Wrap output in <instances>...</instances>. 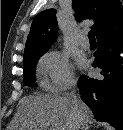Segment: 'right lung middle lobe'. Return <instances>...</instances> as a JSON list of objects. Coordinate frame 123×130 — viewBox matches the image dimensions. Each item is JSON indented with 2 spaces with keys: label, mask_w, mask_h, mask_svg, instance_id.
Here are the masks:
<instances>
[{
  "label": "right lung middle lobe",
  "mask_w": 123,
  "mask_h": 130,
  "mask_svg": "<svg viewBox=\"0 0 123 130\" xmlns=\"http://www.w3.org/2000/svg\"><path fill=\"white\" fill-rule=\"evenodd\" d=\"M44 53L32 54L23 58L24 72H23V84L27 86H36L35 66L39 58Z\"/></svg>",
  "instance_id": "right-lung-middle-lobe-1"
}]
</instances>
